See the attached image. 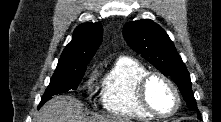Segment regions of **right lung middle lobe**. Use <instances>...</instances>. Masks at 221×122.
Wrapping results in <instances>:
<instances>
[{
  "instance_id": "obj_1",
  "label": "right lung middle lobe",
  "mask_w": 221,
  "mask_h": 122,
  "mask_svg": "<svg viewBox=\"0 0 221 122\" xmlns=\"http://www.w3.org/2000/svg\"><path fill=\"white\" fill-rule=\"evenodd\" d=\"M86 68L87 67H83L79 69L56 68L50 80V84L47 87L42 97L39 107H41L47 100H49L54 95L67 92L69 90L77 89L86 71Z\"/></svg>"
}]
</instances>
